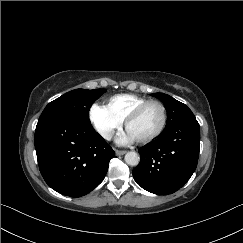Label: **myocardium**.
I'll return each instance as SVG.
<instances>
[{"instance_id": "obj_1", "label": "myocardium", "mask_w": 243, "mask_h": 243, "mask_svg": "<svg viewBox=\"0 0 243 243\" xmlns=\"http://www.w3.org/2000/svg\"><path fill=\"white\" fill-rule=\"evenodd\" d=\"M152 104H156L161 108L162 111V121L161 124L159 126V128L152 133L150 136L141 139V140H136L137 143L139 144H147L150 143L152 141H154L155 139H157L164 131L166 124H167V120H168V112H167V108L165 106V104L160 101V100H149L143 104H141L140 106H138L137 108H135L125 119V127L128 130L129 125L135 121L136 119H138L140 117V115L143 113V111L150 105Z\"/></svg>"}]
</instances>
